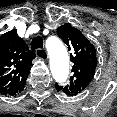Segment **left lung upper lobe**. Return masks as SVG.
Wrapping results in <instances>:
<instances>
[{
  "label": "left lung upper lobe",
  "mask_w": 117,
  "mask_h": 117,
  "mask_svg": "<svg viewBox=\"0 0 117 117\" xmlns=\"http://www.w3.org/2000/svg\"><path fill=\"white\" fill-rule=\"evenodd\" d=\"M57 34L66 43L68 50H72L73 55L70 57L74 66L70 84L65 87L56 84V89L66 95L75 96L87 88L95 75L96 51L82 32L69 23L57 28Z\"/></svg>",
  "instance_id": "left-lung-upper-lobe-1"
}]
</instances>
